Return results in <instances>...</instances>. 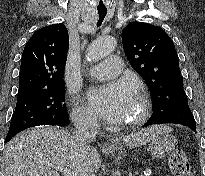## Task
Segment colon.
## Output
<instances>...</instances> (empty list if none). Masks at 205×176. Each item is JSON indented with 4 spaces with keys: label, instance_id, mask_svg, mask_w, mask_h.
<instances>
[{
    "label": "colon",
    "instance_id": "colon-1",
    "mask_svg": "<svg viewBox=\"0 0 205 176\" xmlns=\"http://www.w3.org/2000/svg\"><path fill=\"white\" fill-rule=\"evenodd\" d=\"M169 166L174 176H193L188 157L181 148H177L171 153Z\"/></svg>",
    "mask_w": 205,
    "mask_h": 176
}]
</instances>
